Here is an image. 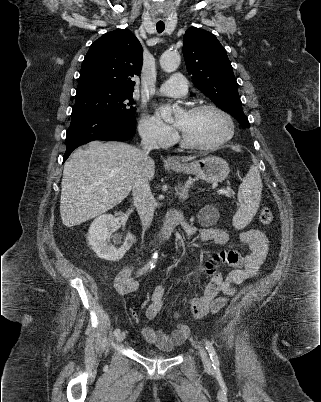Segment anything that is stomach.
<instances>
[{
  "instance_id": "1",
  "label": "stomach",
  "mask_w": 321,
  "mask_h": 402,
  "mask_svg": "<svg viewBox=\"0 0 321 402\" xmlns=\"http://www.w3.org/2000/svg\"><path fill=\"white\" fill-rule=\"evenodd\" d=\"M170 168L177 172L195 174L206 182H222L230 172L228 163L216 156H209L191 163L170 166Z\"/></svg>"
}]
</instances>
